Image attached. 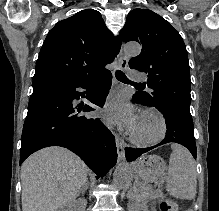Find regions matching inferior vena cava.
Wrapping results in <instances>:
<instances>
[{
    "mask_svg": "<svg viewBox=\"0 0 219 211\" xmlns=\"http://www.w3.org/2000/svg\"><path fill=\"white\" fill-rule=\"evenodd\" d=\"M88 178H89V179H96V178H97V175H96V174H89V175H88Z\"/></svg>",
    "mask_w": 219,
    "mask_h": 211,
    "instance_id": "602c4592",
    "label": "inferior vena cava"
}]
</instances>
